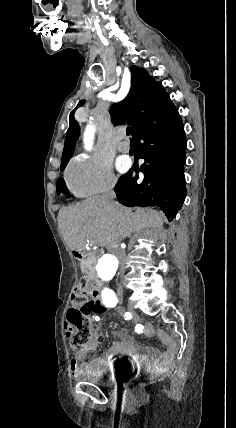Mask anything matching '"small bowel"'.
Wrapping results in <instances>:
<instances>
[{"mask_svg":"<svg viewBox=\"0 0 236 428\" xmlns=\"http://www.w3.org/2000/svg\"><path fill=\"white\" fill-rule=\"evenodd\" d=\"M105 310L106 308L104 307V311ZM135 331L147 337H153L155 335L153 327L148 324H137L135 326ZM156 334L165 346L163 351L142 347L130 336L125 333H119L120 340L115 342L108 350L106 357L102 358L97 363H111L118 355H129L133 363L138 367H144L147 371H158L174 356L176 353V344L164 330L159 329ZM101 338H103V336H101ZM84 358L85 353L78 352L72 359L71 371L73 375L77 376L85 366Z\"/></svg>","mask_w":236,"mask_h":428,"instance_id":"obj_1","label":"small bowel"}]
</instances>
